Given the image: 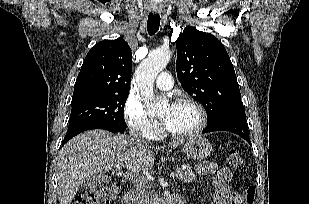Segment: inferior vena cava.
Segmentation results:
<instances>
[{"instance_id":"inferior-vena-cava-1","label":"inferior vena cava","mask_w":309,"mask_h":204,"mask_svg":"<svg viewBox=\"0 0 309 204\" xmlns=\"http://www.w3.org/2000/svg\"><path fill=\"white\" fill-rule=\"evenodd\" d=\"M131 137L137 142L147 143V141L137 132H132ZM127 204H147V196L143 185H135L133 191H131L128 196Z\"/></svg>"}]
</instances>
